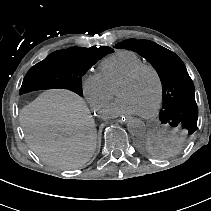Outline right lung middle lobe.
Masks as SVG:
<instances>
[{
    "label": "right lung middle lobe",
    "instance_id": "obj_1",
    "mask_svg": "<svg viewBox=\"0 0 211 211\" xmlns=\"http://www.w3.org/2000/svg\"><path fill=\"white\" fill-rule=\"evenodd\" d=\"M106 54L103 50L81 47L55 51L27 72L20 92L63 88L82 96V76Z\"/></svg>",
    "mask_w": 211,
    "mask_h": 211
}]
</instances>
